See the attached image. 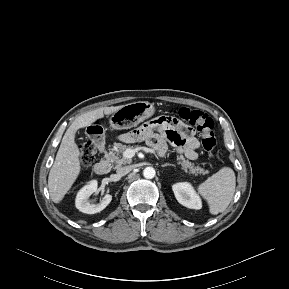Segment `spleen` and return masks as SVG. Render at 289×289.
Listing matches in <instances>:
<instances>
[{
	"label": "spleen",
	"instance_id": "3e777b00",
	"mask_svg": "<svg viewBox=\"0 0 289 289\" xmlns=\"http://www.w3.org/2000/svg\"><path fill=\"white\" fill-rule=\"evenodd\" d=\"M236 177L230 167H223L198 186V192L208 202L213 215L223 212L232 201Z\"/></svg>",
	"mask_w": 289,
	"mask_h": 289
}]
</instances>
